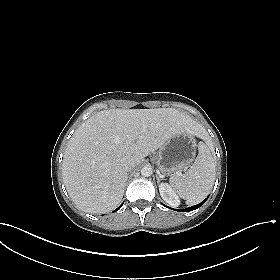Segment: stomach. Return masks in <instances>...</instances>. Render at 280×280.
I'll return each mask as SVG.
<instances>
[{"label": "stomach", "instance_id": "0dacf381", "mask_svg": "<svg viewBox=\"0 0 280 280\" xmlns=\"http://www.w3.org/2000/svg\"><path fill=\"white\" fill-rule=\"evenodd\" d=\"M195 154V135L182 132L174 135L159 149L156 165L162 174L177 173L194 160Z\"/></svg>", "mask_w": 280, "mask_h": 280}]
</instances>
